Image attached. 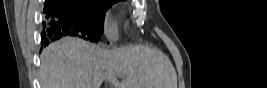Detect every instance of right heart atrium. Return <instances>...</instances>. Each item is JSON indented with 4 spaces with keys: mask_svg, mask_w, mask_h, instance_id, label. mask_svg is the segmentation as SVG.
Segmentation results:
<instances>
[{
    "mask_svg": "<svg viewBox=\"0 0 267 88\" xmlns=\"http://www.w3.org/2000/svg\"><path fill=\"white\" fill-rule=\"evenodd\" d=\"M104 27L107 37L110 40H114L117 36V25L109 14L105 16Z\"/></svg>",
    "mask_w": 267,
    "mask_h": 88,
    "instance_id": "d8ad5b80",
    "label": "right heart atrium"
}]
</instances>
